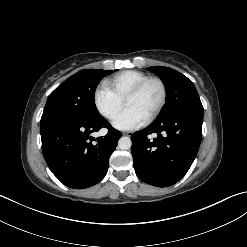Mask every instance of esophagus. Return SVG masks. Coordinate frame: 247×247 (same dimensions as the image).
<instances>
[{
    "instance_id": "1",
    "label": "esophagus",
    "mask_w": 247,
    "mask_h": 247,
    "mask_svg": "<svg viewBox=\"0 0 247 247\" xmlns=\"http://www.w3.org/2000/svg\"><path fill=\"white\" fill-rule=\"evenodd\" d=\"M122 134L123 135H126V136H131L132 135V132H123Z\"/></svg>"
}]
</instances>
